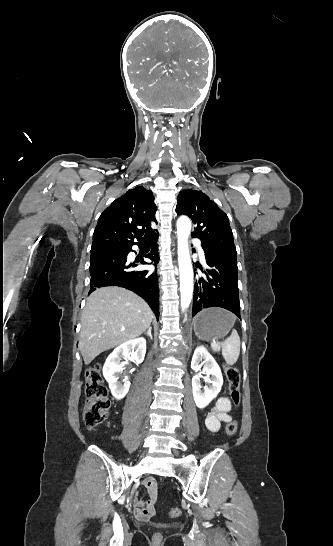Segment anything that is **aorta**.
Instances as JSON below:
<instances>
[{
	"mask_svg": "<svg viewBox=\"0 0 333 546\" xmlns=\"http://www.w3.org/2000/svg\"><path fill=\"white\" fill-rule=\"evenodd\" d=\"M190 231V219L186 216L179 217L177 220V239L182 310L190 305L193 293V269L188 246Z\"/></svg>",
	"mask_w": 333,
	"mask_h": 546,
	"instance_id": "obj_1",
	"label": "aorta"
}]
</instances>
